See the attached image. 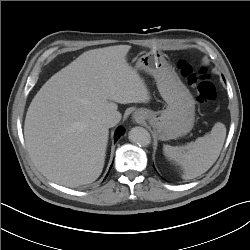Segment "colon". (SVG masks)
I'll list each match as a JSON object with an SVG mask.
<instances>
[{"label": "colon", "instance_id": "5ec220e1", "mask_svg": "<svg viewBox=\"0 0 250 250\" xmlns=\"http://www.w3.org/2000/svg\"><path fill=\"white\" fill-rule=\"evenodd\" d=\"M180 70L189 85L195 89L197 101L207 103L216 99V88L209 80L205 68H197L193 64L182 62Z\"/></svg>", "mask_w": 250, "mask_h": 250}]
</instances>
